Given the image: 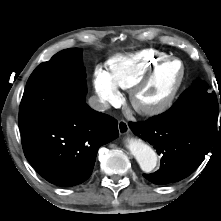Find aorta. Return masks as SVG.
Here are the masks:
<instances>
[{"instance_id": "aorta-1", "label": "aorta", "mask_w": 221, "mask_h": 221, "mask_svg": "<svg viewBox=\"0 0 221 221\" xmlns=\"http://www.w3.org/2000/svg\"><path fill=\"white\" fill-rule=\"evenodd\" d=\"M127 148L135 157L140 165V168L145 172H151L157 164V155L154 150L142 142L141 140L130 138L128 139Z\"/></svg>"}]
</instances>
